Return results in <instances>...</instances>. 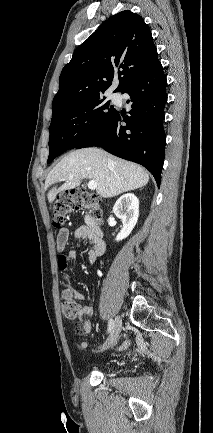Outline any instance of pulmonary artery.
<instances>
[{
  "instance_id": "obj_1",
  "label": "pulmonary artery",
  "mask_w": 213,
  "mask_h": 433,
  "mask_svg": "<svg viewBox=\"0 0 213 433\" xmlns=\"http://www.w3.org/2000/svg\"><path fill=\"white\" fill-rule=\"evenodd\" d=\"M114 99L117 100V99H118V96H117V95H114Z\"/></svg>"
}]
</instances>
